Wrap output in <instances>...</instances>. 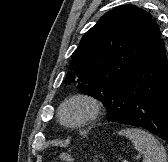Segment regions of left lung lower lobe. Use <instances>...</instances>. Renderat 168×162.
Returning <instances> with one entry per match:
<instances>
[{
	"label": "left lung lower lobe",
	"instance_id": "0a47b994",
	"mask_svg": "<svg viewBox=\"0 0 168 162\" xmlns=\"http://www.w3.org/2000/svg\"><path fill=\"white\" fill-rule=\"evenodd\" d=\"M105 107L109 121L144 128L168 142V60L161 38Z\"/></svg>",
	"mask_w": 168,
	"mask_h": 162
}]
</instances>
